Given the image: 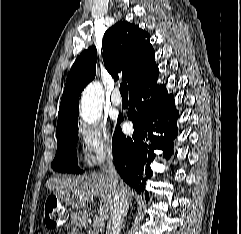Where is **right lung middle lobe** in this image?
I'll list each match as a JSON object with an SVG mask.
<instances>
[{
  "mask_svg": "<svg viewBox=\"0 0 241 234\" xmlns=\"http://www.w3.org/2000/svg\"><path fill=\"white\" fill-rule=\"evenodd\" d=\"M78 124L57 132V152L51 167L59 172L82 173L77 166Z\"/></svg>",
  "mask_w": 241,
  "mask_h": 234,
  "instance_id": "1",
  "label": "right lung middle lobe"
}]
</instances>
